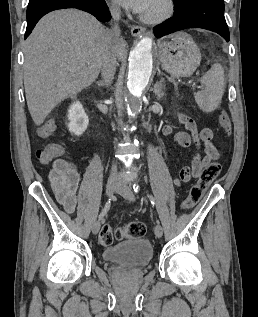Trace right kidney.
<instances>
[{
	"mask_svg": "<svg viewBox=\"0 0 258 317\" xmlns=\"http://www.w3.org/2000/svg\"><path fill=\"white\" fill-rule=\"evenodd\" d=\"M69 122L67 124L70 132H74V134H82L84 130H86L89 124V118L83 108V104L76 100V102H72L71 106L68 108Z\"/></svg>",
	"mask_w": 258,
	"mask_h": 317,
	"instance_id": "1",
	"label": "right kidney"
}]
</instances>
